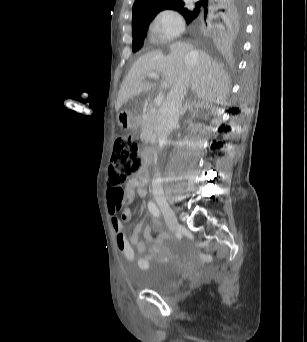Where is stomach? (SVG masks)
<instances>
[{
	"label": "stomach",
	"mask_w": 307,
	"mask_h": 342,
	"mask_svg": "<svg viewBox=\"0 0 307 342\" xmlns=\"http://www.w3.org/2000/svg\"><path fill=\"white\" fill-rule=\"evenodd\" d=\"M118 122L119 125L123 128H130L132 126V118L126 112H119L118 113Z\"/></svg>",
	"instance_id": "stomach-1"
}]
</instances>
